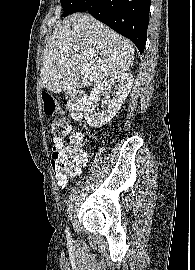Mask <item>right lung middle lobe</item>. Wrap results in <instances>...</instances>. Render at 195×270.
I'll list each match as a JSON object with an SVG mask.
<instances>
[{
    "label": "right lung middle lobe",
    "instance_id": "1",
    "mask_svg": "<svg viewBox=\"0 0 195 270\" xmlns=\"http://www.w3.org/2000/svg\"><path fill=\"white\" fill-rule=\"evenodd\" d=\"M80 0H60L61 5L63 7V14L62 16H67L69 14L74 13L75 7Z\"/></svg>",
    "mask_w": 195,
    "mask_h": 270
}]
</instances>
